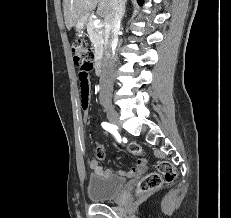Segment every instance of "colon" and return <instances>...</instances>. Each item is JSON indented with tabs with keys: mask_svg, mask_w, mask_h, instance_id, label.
Listing matches in <instances>:
<instances>
[{
	"mask_svg": "<svg viewBox=\"0 0 231 218\" xmlns=\"http://www.w3.org/2000/svg\"><path fill=\"white\" fill-rule=\"evenodd\" d=\"M74 63L82 66L83 63H88V60L94 59L93 51L87 47L80 39L73 40L71 44ZM129 152L139 154L142 152L141 147L136 143L127 145ZM157 171L151 172L144 176L138 183L137 194L145 195L159 189L164 182L172 183L177 178V173L173 165L165 160L157 163Z\"/></svg>",
	"mask_w": 231,
	"mask_h": 218,
	"instance_id": "5ec220e1",
	"label": "colon"
}]
</instances>
